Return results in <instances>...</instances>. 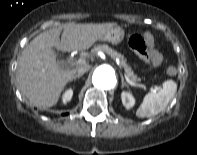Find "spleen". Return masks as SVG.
Instances as JSON below:
<instances>
[{
	"label": "spleen",
	"instance_id": "obj_1",
	"mask_svg": "<svg viewBox=\"0 0 197 155\" xmlns=\"http://www.w3.org/2000/svg\"><path fill=\"white\" fill-rule=\"evenodd\" d=\"M176 91V82L173 80L165 81L158 92H150L145 95L140 107L136 111V116L144 118L157 115L166 108L175 96Z\"/></svg>",
	"mask_w": 197,
	"mask_h": 155
}]
</instances>
